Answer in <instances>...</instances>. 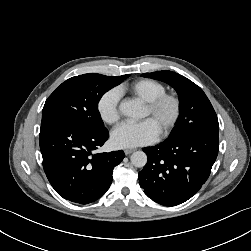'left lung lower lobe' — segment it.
Returning <instances> with one entry per match:
<instances>
[{"label":"left lung lower lobe","instance_id":"0a47b994","mask_svg":"<svg viewBox=\"0 0 251 251\" xmlns=\"http://www.w3.org/2000/svg\"><path fill=\"white\" fill-rule=\"evenodd\" d=\"M218 148V132L209 131L143 148L148 161L139 172L140 186L159 204L179 205L195 195L206 182Z\"/></svg>","mask_w":251,"mask_h":251}]
</instances>
